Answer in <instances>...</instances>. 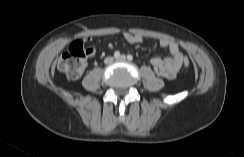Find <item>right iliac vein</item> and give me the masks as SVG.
<instances>
[{
    "label": "right iliac vein",
    "mask_w": 244,
    "mask_h": 157,
    "mask_svg": "<svg viewBox=\"0 0 244 157\" xmlns=\"http://www.w3.org/2000/svg\"><path fill=\"white\" fill-rule=\"evenodd\" d=\"M112 61H113V58H112V57H107V58L105 59V63H106V64H110V63H112Z\"/></svg>",
    "instance_id": "1"
}]
</instances>
